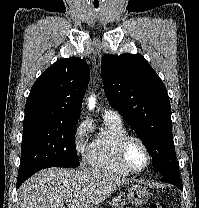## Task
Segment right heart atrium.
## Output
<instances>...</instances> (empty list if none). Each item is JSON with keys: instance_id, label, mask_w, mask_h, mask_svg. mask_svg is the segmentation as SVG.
Masks as SVG:
<instances>
[{"instance_id": "d8ad5b80", "label": "right heart atrium", "mask_w": 199, "mask_h": 208, "mask_svg": "<svg viewBox=\"0 0 199 208\" xmlns=\"http://www.w3.org/2000/svg\"><path fill=\"white\" fill-rule=\"evenodd\" d=\"M90 130L91 123L88 119L80 120L74 130V149L82 159H87L90 152V144L88 143V135Z\"/></svg>"}]
</instances>
